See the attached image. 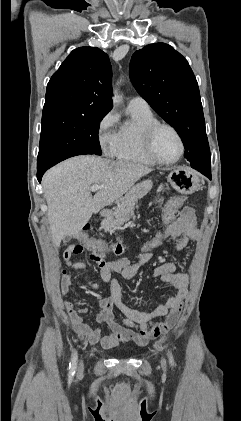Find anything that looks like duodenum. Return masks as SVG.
<instances>
[{
  "label": "duodenum",
  "instance_id": "obj_1",
  "mask_svg": "<svg viewBox=\"0 0 241 421\" xmlns=\"http://www.w3.org/2000/svg\"><path fill=\"white\" fill-rule=\"evenodd\" d=\"M110 216V211L109 210H102L100 213H99V217L100 218H106V217H109ZM117 245V246H116ZM113 247H115L116 248V253H121L122 252V250H123V247H122V245H120V244H115Z\"/></svg>",
  "mask_w": 241,
  "mask_h": 421
}]
</instances>
